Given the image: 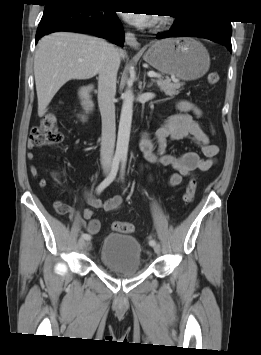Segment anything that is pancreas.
Instances as JSON below:
<instances>
[{
	"label": "pancreas",
	"instance_id": "pancreas-1",
	"mask_svg": "<svg viewBox=\"0 0 261 355\" xmlns=\"http://www.w3.org/2000/svg\"><path fill=\"white\" fill-rule=\"evenodd\" d=\"M153 82H156L160 90L170 97L178 95L182 86L180 83H172L170 79H162L160 76Z\"/></svg>",
	"mask_w": 261,
	"mask_h": 355
}]
</instances>
